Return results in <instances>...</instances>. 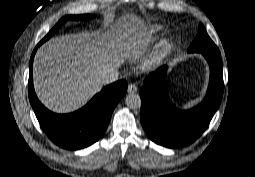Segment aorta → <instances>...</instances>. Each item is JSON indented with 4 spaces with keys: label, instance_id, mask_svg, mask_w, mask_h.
Here are the masks:
<instances>
[{
    "label": "aorta",
    "instance_id": "aorta-1",
    "mask_svg": "<svg viewBox=\"0 0 255 177\" xmlns=\"http://www.w3.org/2000/svg\"><path fill=\"white\" fill-rule=\"evenodd\" d=\"M125 104L132 110L140 109L141 98L138 94L130 93L125 98Z\"/></svg>",
    "mask_w": 255,
    "mask_h": 177
}]
</instances>
